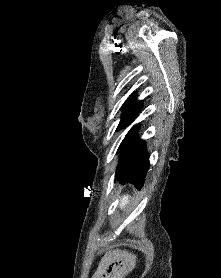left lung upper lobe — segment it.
Returning a JSON list of instances; mask_svg holds the SVG:
<instances>
[{
    "label": "left lung upper lobe",
    "instance_id": "1",
    "mask_svg": "<svg viewBox=\"0 0 221 278\" xmlns=\"http://www.w3.org/2000/svg\"><path fill=\"white\" fill-rule=\"evenodd\" d=\"M135 98L136 94L133 93L123 105V114L117 130L127 127L130 122L136 118L138 112L140 111L141 102L135 101Z\"/></svg>",
    "mask_w": 221,
    "mask_h": 278
}]
</instances>
